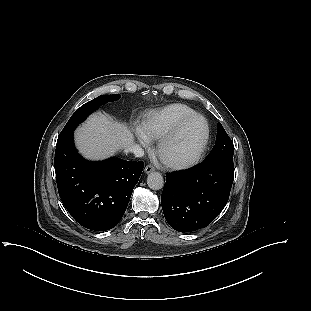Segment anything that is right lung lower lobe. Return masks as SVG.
Wrapping results in <instances>:
<instances>
[{
	"label": "right lung lower lobe",
	"instance_id": "right-lung-lower-lobe-1",
	"mask_svg": "<svg viewBox=\"0 0 311 311\" xmlns=\"http://www.w3.org/2000/svg\"><path fill=\"white\" fill-rule=\"evenodd\" d=\"M55 173L59 196L83 227L105 231L123 217L144 163L111 157L84 160L76 151L73 134L57 142Z\"/></svg>",
	"mask_w": 311,
	"mask_h": 311
}]
</instances>
